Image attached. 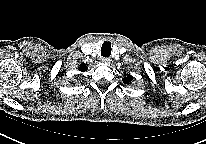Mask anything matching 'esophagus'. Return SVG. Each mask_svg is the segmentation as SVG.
<instances>
[{
	"label": "esophagus",
	"instance_id": "obj_1",
	"mask_svg": "<svg viewBox=\"0 0 206 144\" xmlns=\"http://www.w3.org/2000/svg\"><path fill=\"white\" fill-rule=\"evenodd\" d=\"M101 61L105 64H109L111 62V59L107 58V57H103V58H101Z\"/></svg>",
	"mask_w": 206,
	"mask_h": 144
}]
</instances>
